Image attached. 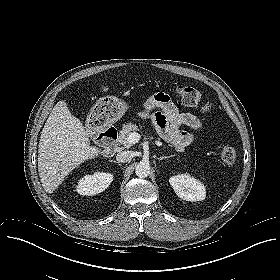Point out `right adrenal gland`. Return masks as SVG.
<instances>
[{
    "label": "right adrenal gland",
    "mask_w": 280,
    "mask_h": 280,
    "mask_svg": "<svg viewBox=\"0 0 280 280\" xmlns=\"http://www.w3.org/2000/svg\"><path fill=\"white\" fill-rule=\"evenodd\" d=\"M111 162H112V160H111ZM114 163H117L118 165H120V163L119 162H117V161H113Z\"/></svg>",
    "instance_id": "2a0ac1e0"
}]
</instances>
